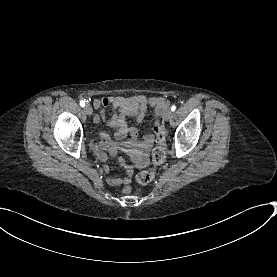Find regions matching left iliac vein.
Returning a JSON list of instances; mask_svg holds the SVG:
<instances>
[{"mask_svg":"<svg viewBox=\"0 0 277 277\" xmlns=\"http://www.w3.org/2000/svg\"><path fill=\"white\" fill-rule=\"evenodd\" d=\"M173 116V112L170 109H167L164 113L165 120H170Z\"/></svg>","mask_w":277,"mask_h":277,"instance_id":"4c4485c4","label":"left iliac vein"}]
</instances>
